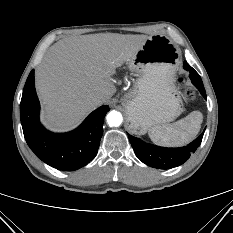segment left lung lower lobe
I'll return each instance as SVG.
<instances>
[{
  "instance_id": "0a47b994",
  "label": "left lung lower lobe",
  "mask_w": 233,
  "mask_h": 233,
  "mask_svg": "<svg viewBox=\"0 0 233 233\" xmlns=\"http://www.w3.org/2000/svg\"><path fill=\"white\" fill-rule=\"evenodd\" d=\"M184 69L189 71L192 83L199 89L202 96L206 99V92L199 74L187 62H184ZM131 145L139 160L148 166L158 169H170L183 164L190 155L196 151L201 144L203 134L196 138L192 143L181 148H163L142 142L128 134Z\"/></svg>"
}]
</instances>
